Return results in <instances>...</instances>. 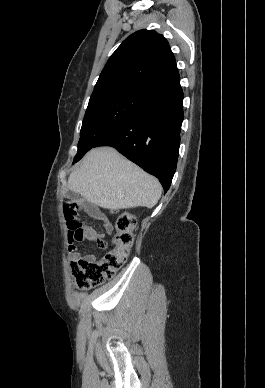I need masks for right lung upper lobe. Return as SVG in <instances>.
Segmentation results:
<instances>
[{"label": "right lung upper lobe", "instance_id": "right-lung-upper-lobe-1", "mask_svg": "<svg viewBox=\"0 0 265 388\" xmlns=\"http://www.w3.org/2000/svg\"><path fill=\"white\" fill-rule=\"evenodd\" d=\"M179 82L175 57L167 40L153 30H140L111 55L93 93L121 91L147 98Z\"/></svg>", "mask_w": 265, "mask_h": 388}]
</instances>
